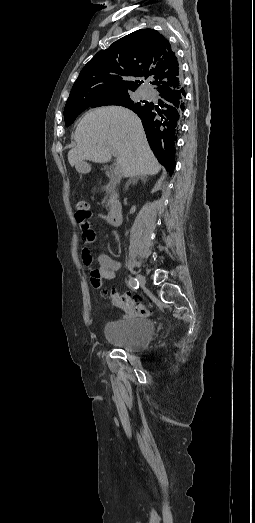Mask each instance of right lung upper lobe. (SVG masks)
Listing matches in <instances>:
<instances>
[{
	"label": "right lung upper lobe",
	"mask_w": 255,
	"mask_h": 523,
	"mask_svg": "<svg viewBox=\"0 0 255 523\" xmlns=\"http://www.w3.org/2000/svg\"><path fill=\"white\" fill-rule=\"evenodd\" d=\"M133 77L153 80L160 98L157 105L130 100L124 106L141 118L151 149L172 174L186 93L177 57L156 30H137L98 52L80 72L66 104L130 94L143 83Z\"/></svg>",
	"instance_id": "obj_1"
}]
</instances>
